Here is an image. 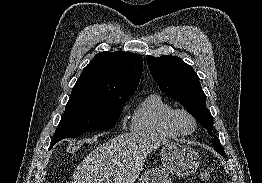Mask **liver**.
<instances>
[{"label":"liver","mask_w":262,"mask_h":183,"mask_svg":"<svg viewBox=\"0 0 262 183\" xmlns=\"http://www.w3.org/2000/svg\"><path fill=\"white\" fill-rule=\"evenodd\" d=\"M168 142L152 134L124 133L97 147L76 168L71 183H134L147 155Z\"/></svg>","instance_id":"liver-1"}]
</instances>
